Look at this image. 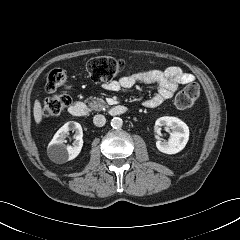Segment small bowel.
I'll return each mask as SVG.
<instances>
[{"label":"small bowel","instance_id":"obj_1","mask_svg":"<svg viewBox=\"0 0 240 240\" xmlns=\"http://www.w3.org/2000/svg\"><path fill=\"white\" fill-rule=\"evenodd\" d=\"M195 81V77L180 67L171 66L165 70H145L128 73L119 80L104 84V89L108 91H119L129 89L139 83L154 84L157 88L155 95L145 100L143 105L153 109L164 101L170 99L178 89L179 85H188Z\"/></svg>","mask_w":240,"mask_h":240}]
</instances>
